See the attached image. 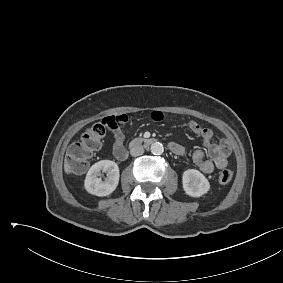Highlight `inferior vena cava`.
<instances>
[{
  "label": "inferior vena cava",
  "mask_w": 283,
  "mask_h": 283,
  "mask_svg": "<svg viewBox=\"0 0 283 283\" xmlns=\"http://www.w3.org/2000/svg\"><path fill=\"white\" fill-rule=\"evenodd\" d=\"M144 153V148L142 146H133L131 149H130V154L133 156V157H136V156H140Z\"/></svg>",
  "instance_id": "inferior-vena-cava-1"
}]
</instances>
